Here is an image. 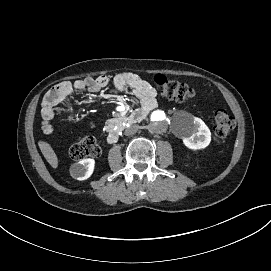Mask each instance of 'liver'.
I'll use <instances>...</instances> for the list:
<instances>
[{"label": "liver", "mask_w": 271, "mask_h": 271, "mask_svg": "<svg viewBox=\"0 0 271 271\" xmlns=\"http://www.w3.org/2000/svg\"><path fill=\"white\" fill-rule=\"evenodd\" d=\"M39 148L42 152V154L44 155L45 159L47 160V162L53 167V168H57L58 166V158L54 152V150L52 149V147L43 141H39L38 142Z\"/></svg>", "instance_id": "obj_1"}]
</instances>
